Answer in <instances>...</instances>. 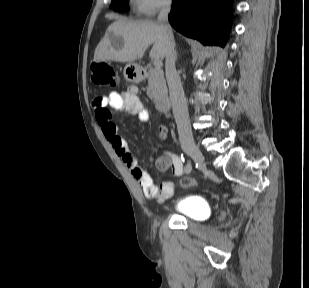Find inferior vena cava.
<instances>
[{"mask_svg": "<svg viewBox=\"0 0 309 288\" xmlns=\"http://www.w3.org/2000/svg\"><path fill=\"white\" fill-rule=\"evenodd\" d=\"M170 9L171 0H166L159 12L158 23L162 27L166 38V79L169 86L170 99L179 133V140L181 145H187L192 144L194 140L190 130L189 114L185 94L181 85L180 77L175 68V43L172 29L168 23V14Z\"/></svg>", "mask_w": 309, "mask_h": 288, "instance_id": "1", "label": "inferior vena cava"}]
</instances>
